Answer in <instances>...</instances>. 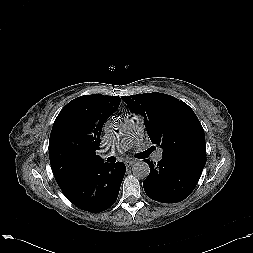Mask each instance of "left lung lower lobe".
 <instances>
[{"mask_svg":"<svg viewBox=\"0 0 253 253\" xmlns=\"http://www.w3.org/2000/svg\"><path fill=\"white\" fill-rule=\"evenodd\" d=\"M162 156L158 163L145 160L150 167V173L143 181L145 193L162 203L180 202L196 187L206 164V156L195 153Z\"/></svg>","mask_w":253,"mask_h":253,"instance_id":"1","label":"left lung lower lobe"}]
</instances>
